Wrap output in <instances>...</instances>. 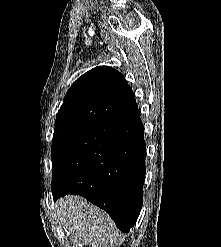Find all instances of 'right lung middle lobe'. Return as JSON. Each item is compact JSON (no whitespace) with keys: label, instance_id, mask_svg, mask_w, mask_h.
<instances>
[{"label":"right lung middle lobe","instance_id":"dd1d6c3e","mask_svg":"<svg viewBox=\"0 0 221 247\" xmlns=\"http://www.w3.org/2000/svg\"><path fill=\"white\" fill-rule=\"evenodd\" d=\"M86 129V127L70 126L54 130L51 149L53 165L60 157L63 150L68 146V144Z\"/></svg>","mask_w":221,"mask_h":247}]
</instances>
